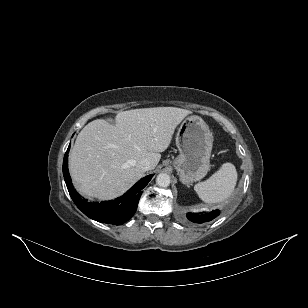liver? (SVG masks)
<instances>
[{
	"label": "liver",
	"mask_w": 308,
	"mask_h": 308,
	"mask_svg": "<svg viewBox=\"0 0 308 308\" xmlns=\"http://www.w3.org/2000/svg\"><path fill=\"white\" fill-rule=\"evenodd\" d=\"M189 114L177 107L142 108L119 112L115 125L104 119L88 123L69 155L76 189L99 200L123 194L144 175L137 163L146 158L154 169L175 128Z\"/></svg>",
	"instance_id": "6515ba94"
}]
</instances>
